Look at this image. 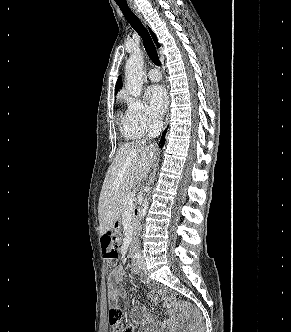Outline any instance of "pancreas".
Here are the masks:
<instances>
[{"label": "pancreas", "mask_w": 291, "mask_h": 332, "mask_svg": "<svg viewBox=\"0 0 291 332\" xmlns=\"http://www.w3.org/2000/svg\"><path fill=\"white\" fill-rule=\"evenodd\" d=\"M128 193H126L123 197H122V201H121V214L124 213L125 209H126V205L124 204L125 198L127 196Z\"/></svg>", "instance_id": "pancreas-1"}]
</instances>
